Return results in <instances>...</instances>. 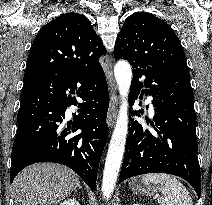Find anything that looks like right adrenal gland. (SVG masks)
<instances>
[{"mask_svg":"<svg viewBox=\"0 0 212 205\" xmlns=\"http://www.w3.org/2000/svg\"><path fill=\"white\" fill-rule=\"evenodd\" d=\"M76 188H78V189H80V190L82 189V187L80 186V184H79V182H78V181H77V183H76V187H75V189H74L75 191H76Z\"/></svg>","mask_w":212,"mask_h":205,"instance_id":"1","label":"right adrenal gland"}]
</instances>
